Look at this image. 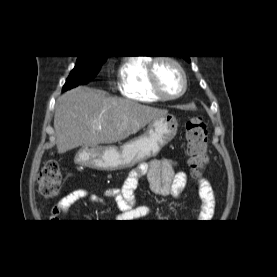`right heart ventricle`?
Instances as JSON below:
<instances>
[{
	"mask_svg": "<svg viewBox=\"0 0 277 277\" xmlns=\"http://www.w3.org/2000/svg\"><path fill=\"white\" fill-rule=\"evenodd\" d=\"M147 57L127 58L119 68V90L129 99L140 102L162 101L151 89Z\"/></svg>",
	"mask_w": 277,
	"mask_h": 277,
	"instance_id": "1",
	"label": "right heart ventricle"
}]
</instances>
